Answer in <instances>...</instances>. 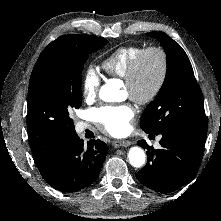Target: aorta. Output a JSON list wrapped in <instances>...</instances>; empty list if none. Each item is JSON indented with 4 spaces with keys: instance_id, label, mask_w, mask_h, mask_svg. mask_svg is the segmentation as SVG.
I'll list each match as a JSON object with an SVG mask.
<instances>
[{
    "instance_id": "1",
    "label": "aorta",
    "mask_w": 221,
    "mask_h": 221,
    "mask_svg": "<svg viewBox=\"0 0 221 221\" xmlns=\"http://www.w3.org/2000/svg\"><path fill=\"white\" fill-rule=\"evenodd\" d=\"M119 88L117 80H109L101 87L100 98L106 102L116 101L119 96ZM128 160L133 167L139 168L144 165L146 154L142 148L134 146L129 149Z\"/></svg>"
}]
</instances>
